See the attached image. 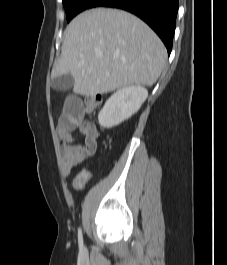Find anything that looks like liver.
Segmentation results:
<instances>
[{"label":"liver","mask_w":227,"mask_h":265,"mask_svg":"<svg viewBox=\"0 0 227 265\" xmlns=\"http://www.w3.org/2000/svg\"><path fill=\"white\" fill-rule=\"evenodd\" d=\"M166 61L164 44L146 23L125 11L97 8L67 26L51 78L70 73L74 93L95 96L131 85L151 86Z\"/></svg>","instance_id":"obj_1"}]
</instances>
